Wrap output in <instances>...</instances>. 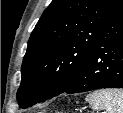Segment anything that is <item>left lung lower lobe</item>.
<instances>
[{"mask_svg": "<svg viewBox=\"0 0 123 113\" xmlns=\"http://www.w3.org/2000/svg\"><path fill=\"white\" fill-rule=\"evenodd\" d=\"M123 88V0L105 19L79 77L64 93Z\"/></svg>", "mask_w": 123, "mask_h": 113, "instance_id": "1", "label": "left lung lower lobe"}]
</instances>
